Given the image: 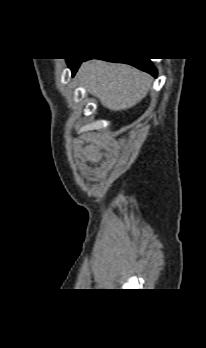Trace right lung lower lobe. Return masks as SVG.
Listing matches in <instances>:
<instances>
[{"instance_id": "right-lung-lower-lobe-1", "label": "right lung lower lobe", "mask_w": 206, "mask_h": 348, "mask_svg": "<svg viewBox=\"0 0 206 348\" xmlns=\"http://www.w3.org/2000/svg\"><path fill=\"white\" fill-rule=\"evenodd\" d=\"M87 60V59H67L68 65L72 70V74L74 75L76 70L78 69L79 65L81 64L82 61ZM108 61H113V62H121V63H127L130 65H133L145 72L150 73L154 77L157 75V71L151 61L146 58H132V59H105Z\"/></svg>"}]
</instances>
